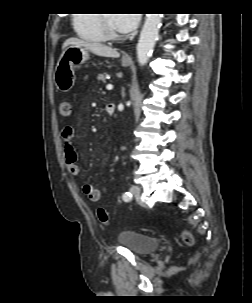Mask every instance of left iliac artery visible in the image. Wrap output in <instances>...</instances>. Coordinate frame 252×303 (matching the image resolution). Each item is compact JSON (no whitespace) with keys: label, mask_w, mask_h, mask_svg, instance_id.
Returning <instances> with one entry per match:
<instances>
[{"label":"left iliac artery","mask_w":252,"mask_h":303,"mask_svg":"<svg viewBox=\"0 0 252 303\" xmlns=\"http://www.w3.org/2000/svg\"><path fill=\"white\" fill-rule=\"evenodd\" d=\"M122 197H123V200L127 201V200L131 199L132 194L130 192H126L123 194Z\"/></svg>","instance_id":"44dca946"}]
</instances>
